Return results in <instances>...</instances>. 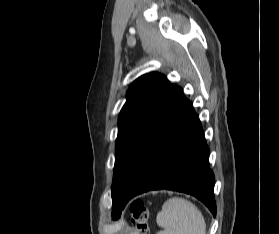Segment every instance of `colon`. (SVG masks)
Returning a JSON list of instances; mask_svg holds the SVG:
<instances>
[{
  "label": "colon",
  "instance_id": "5ec220e1",
  "mask_svg": "<svg viewBox=\"0 0 279 234\" xmlns=\"http://www.w3.org/2000/svg\"><path fill=\"white\" fill-rule=\"evenodd\" d=\"M129 212L135 228L146 234L148 209L144 202L140 199L133 200L129 206Z\"/></svg>",
  "mask_w": 279,
  "mask_h": 234
}]
</instances>
